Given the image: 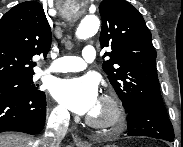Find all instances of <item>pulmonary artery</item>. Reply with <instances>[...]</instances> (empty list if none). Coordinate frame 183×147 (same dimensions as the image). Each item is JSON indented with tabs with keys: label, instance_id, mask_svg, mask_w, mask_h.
<instances>
[{
	"label": "pulmonary artery",
	"instance_id": "obj_1",
	"mask_svg": "<svg viewBox=\"0 0 183 147\" xmlns=\"http://www.w3.org/2000/svg\"><path fill=\"white\" fill-rule=\"evenodd\" d=\"M96 58V49L92 45H87L82 51L81 57L64 56L55 60L49 67V72L63 73L81 71L86 68L87 63Z\"/></svg>",
	"mask_w": 183,
	"mask_h": 147
}]
</instances>
